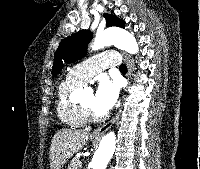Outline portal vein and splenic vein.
<instances>
[{"instance_id":"1","label":"portal vein and splenic vein","mask_w":200,"mask_h":169,"mask_svg":"<svg viewBox=\"0 0 200 169\" xmlns=\"http://www.w3.org/2000/svg\"><path fill=\"white\" fill-rule=\"evenodd\" d=\"M78 165H79V167H81L82 166V162H80Z\"/></svg>"}]
</instances>
